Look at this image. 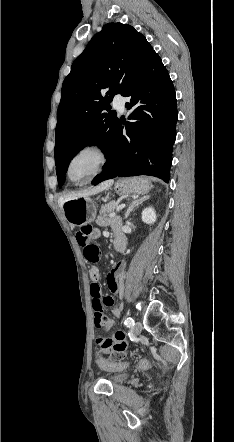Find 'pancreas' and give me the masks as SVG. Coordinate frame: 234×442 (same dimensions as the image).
<instances>
[{"mask_svg": "<svg viewBox=\"0 0 234 442\" xmlns=\"http://www.w3.org/2000/svg\"><path fill=\"white\" fill-rule=\"evenodd\" d=\"M118 207V202L111 201L103 206H101L100 215H107L114 212V210Z\"/></svg>", "mask_w": 234, "mask_h": 442, "instance_id": "obj_1", "label": "pancreas"}]
</instances>
